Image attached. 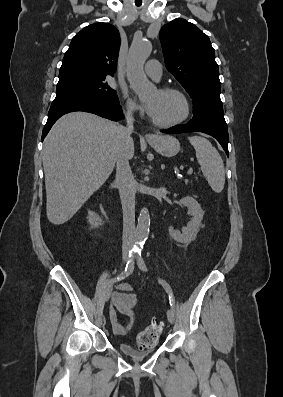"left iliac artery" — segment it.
I'll return each instance as SVG.
<instances>
[{
    "mask_svg": "<svg viewBox=\"0 0 283 397\" xmlns=\"http://www.w3.org/2000/svg\"><path fill=\"white\" fill-rule=\"evenodd\" d=\"M137 264H138V267H139L142 271H147L146 264H145V262H144V259H143L142 255H141V250H138V252H137ZM159 282H160V284H162V286L164 287V289H165L166 292L168 293V295H169V302H170V306H171V310H172L173 312H175L174 295H173V292H172V290H171L169 284H168L166 281H164V280H159Z\"/></svg>",
    "mask_w": 283,
    "mask_h": 397,
    "instance_id": "44dca946",
    "label": "left iliac artery"
}]
</instances>
